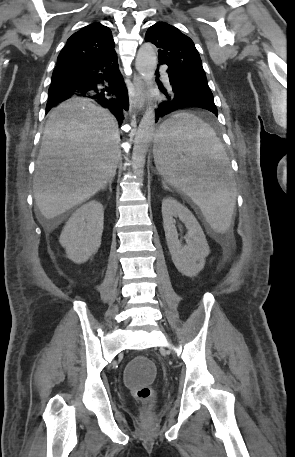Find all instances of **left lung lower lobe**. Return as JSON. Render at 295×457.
<instances>
[{
    "mask_svg": "<svg viewBox=\"0 0 295 457\" xmlns=\"http://www.w3.org/2000/svg\"><path fill=\"white\" fill-rule=\"evenodd\" d=\"M160 64H165L159 61ZM169 82L166 88L158 81L160 91L166 99L161 102L156 110V122L160 117L182 108L199 107L207 109L217 116V108L213 95L207 87L190 88L179 79L180 71L172 68L167 70Z\"/></svg>",
    "mask_w": 295,
    "mask_h": 457,
    "instance_id": "left-lung-lower-lobe-1",
    "label": "left lung lower lobe"
}]
</instances>
